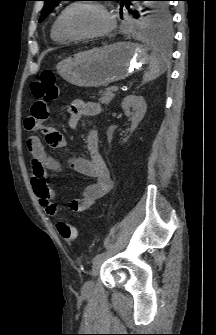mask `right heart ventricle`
Wrapping results in <instances>:
<instances>
[{
	"label": "right heart ventricle",
	"instance_id": "1",
	"mask_svg": "<svg viewBox=\"0 0 216 335\" xmlns=\"http://www.w3.org/2000/svg\"><path fill=\"white\" fill-rule=\"evenodd\" d=\"M61 13V12H60ZM60 13L58 14V16L55 18L53 24H52V27H51V38L57 42V43H67L69 41L68 38H66L59 30V27H58V18H59V15Z\"/></svg>",
	"mask_w": 216,
	"mask_h": 335
}]
</instances>
